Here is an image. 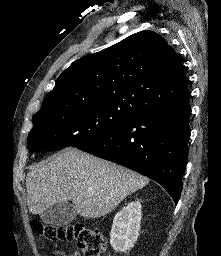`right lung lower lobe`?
<instances>
[{"label": "right lung lower lobe", "mask_w": 221, "mask_h": 256, "mask_svg": "<svg viewBox=\"0 0 221 256\" xmlns=\"http://www.w3.org/2000/svg\"><path fill=\"white\" fill-rule=\"evenodd\" d=\"M190 113L189 99L157 107L77 148L153 179L177 204L188 157Z\"/></svg>", "instance_id": "98d812e1"}]
</instances>
